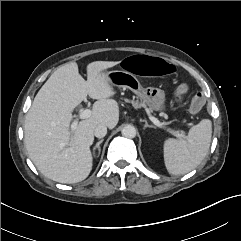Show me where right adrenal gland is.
Instances as JSON below:
<instances>
[{
	"instance_id": "obj_1",
	"label": "right adrenal gland",
	"mask_w": 241,
	"mask_h": 241,
	"mask_svg": "<svg viewBox=\"0 0 241 241\" xmlns=\"http://www.w3.org/2000/svg\"><path fill=\"white\" fill-rule=\"evenodd\" d=\"M103 142V139H101L100 141H98L96 143V145L93 147V153H95V150L97 149L98 150V154H97V157H99L100 155V152H101V148H100V144Z\"/></svg>"
}]
</instances>
